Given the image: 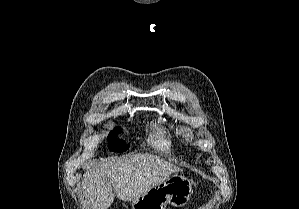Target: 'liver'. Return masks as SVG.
Returning <instances> with one entry per match:
<instances>
[{"instance_id":"obj_1","label":"liver","mask_w":299,"mask_h":209,"mask_svg":"<svg viewBox=\"0 0 299 209\" xmlns=\"http://www.w3.org/2000/svg\"><path fill=\"white\" fill-rule=\"evenodd\" d=\"M180 171L151 154H135L91 166L82 180L84 204L86 209H108L115 194L122 201H133Z\"/></svg>"}]
</instances>
